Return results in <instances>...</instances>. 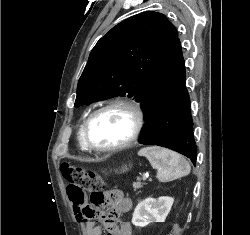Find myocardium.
<instances>
[{
    "label": "myocardium",
    "mask_w": 250,
    "mask_h": 235,
    "mask_svg": "<svg viewBox=\"0 0 250 235\" xmlns=\"http://www.w3.org/2000/svg\"><path fill=\"white\" fill-rule=\"evenodd\" d=\"M115 108H119V109H123L127 111L132 117L133 126H132L129 136L124 141L118 144L109 146V147H99V146L92 144L90 141V137H89V128H90L92 121L99 114L107 110L115 109ZM143 125H144V114L139 103H137L134 100H129V99H114L96 108L86 118L84 126H83V130H82L83 141H84L86 148L91 151H95L98 153L116 152L134 144L137 141L142 131Z\"/></svg>",
    "instance_id": "f54148a6"
}]
</instances>
